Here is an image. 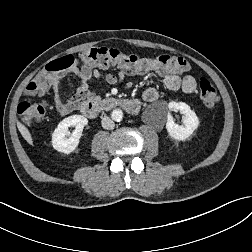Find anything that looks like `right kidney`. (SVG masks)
Here are the masks:
<instances>
[{"label": "right kidney", "mask_w": 252, "mask_h": 252, "mask_svg": "<svg viewBox=\"0 0 252 252\" xmlns=\"http://www.w3.org/2000/svg\"><path fill=\"white\" fill-rule=\"evenodd\" d=\"M87 124V118L82 115H72L63 119L52 134L53 148L65 154L73 152L77 148L83 128ZM70 126H75V130L72 135L67 138L66 136L69 135L68 128Z\"/></svg>", "instance_id": "ca27d5eb"}]
</instances>
